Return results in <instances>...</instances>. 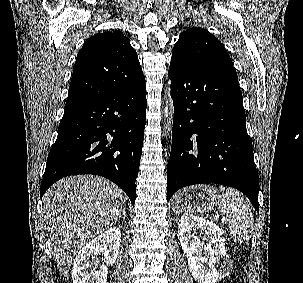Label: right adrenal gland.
Segmentation results:
<instances>
[{
  "mask_svg": "<svg viewBox=\"0 0 303 283\" xmlns=\"http://www.w3.org/2000/svg\"><path fill=\"white\" fill-rule=\"evenodd\" d=\"M122 215H123V217H124V218H126V217H127V214H126V209H124V210H123Z\"/></svg>",
  "mask_w": 303,
  "mask_h": 283,
  "instance_id": "2a0ac1e0",
  "label": "right adrenal gland"
}]
</instances>
